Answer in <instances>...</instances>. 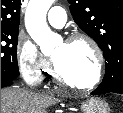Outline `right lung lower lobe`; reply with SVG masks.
<instances>
[{
  "mask_svg": "<svg viewBox=\"0 0 123 113\" xmlns=\"http://www.w3.org/2000/svg\"><path fill=\"white\" fill-rule=\"evenodd\" d=\"M13 84V80L10 81V80H1V88L2 87H6V86H10Z\"/></svg>",
  "mask_w": 123,
  "mask_h": 113,
  "instance_id": "obj_1",
  "label": "right lung lower lobe"
}]
</instances>
